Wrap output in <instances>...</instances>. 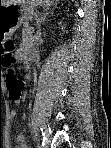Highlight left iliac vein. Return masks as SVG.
<instances>
[{"label": "left iliac vein", "instance_id": "4c4485c4", "mask_svg": "<svg viewBox=\"0 0 111 148\" xmlns=\"http://www.w3.org/2000/svg\"><path fill=\"white\" fill-rule=\"evenodd\" d=\"M43 127H44L45 129H47V127H46V125H45V124L43 125Z\"/></svg>", "mask_w": 111, "mask_h": 148}]
</instances>
